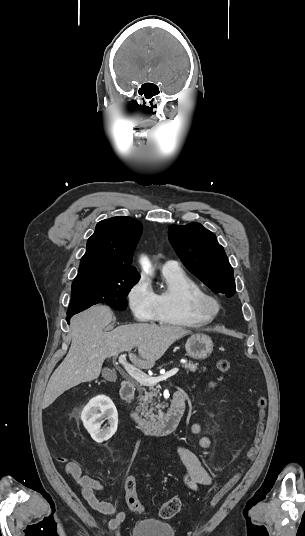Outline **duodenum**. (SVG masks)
<instances>
[{"label": "duodenum", "mask_w": 305, "mask_h": 536, "mask_svg": "<svg viewBox=\"0 0 305 536\" xmlns=\"http://www.w3.org/2000/svg\"><path fill=\"white\" fill-rule=\"evenodd\" d=\"M134 386L130 381L123 383L120 390V397L126 404L130 403L134 397ZM186 403V394L183 391L174 393L170 408L156 422H149L136 413H131L130 418L136 425L137 429L148 436L158 437L163 436L173 431L183 414L184 405Z\"/></svg>", "instance_id": "duodenum-1"}]
</instances>
